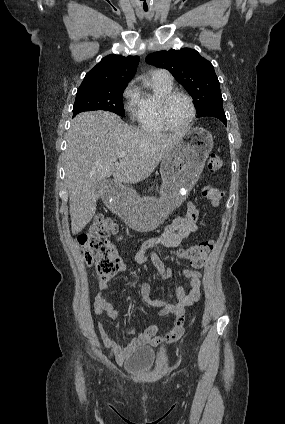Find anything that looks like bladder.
Wrapping results in <instances>:
<instances>
[{"label": "bladder", "instance_id": "1", "mask_svg": "<svg viewBox=\"0 0 285 424\" xmlns=\"http://www.w3.org/2000/svg\"><path fill=\"white\" fill-rule=\"evenodd\" d=\"M157 350L151 346H142L133 349L125 360V366L132 372L138 373L151 366Z\"/></svg>", "mask_w": 285, "mask_h": 424}]
</instances>
